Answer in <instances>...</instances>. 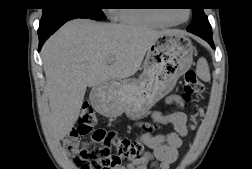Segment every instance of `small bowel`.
<instances>
[{
    "mask_svg": "<svg viewBox=\"0 0 252 169\" xmlns=\"http://www.w3.org/2000/svg\"><path fill=\"white\" fill-rule=\"evenodd\" d=\"M181 97L177 94L166 99L167 104H180ZM155 122L160 124H171L173 131L167 134H143V143L152 150L140 160L124 162L117 169H148L150 166L159 164L161 169H169L170 165L177 159L178 149L182 145V138L187 135V116L183 112H175L164 115L159 111L152 114ZM93 141L97 139L93 136Z\"/></svg>",
    "mask_w": 252,
    "mask_h": 169,
    "instance_id": "1",
    "label": "small bowel"
}]
</instances>
